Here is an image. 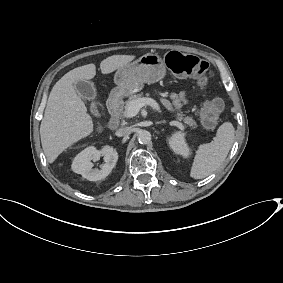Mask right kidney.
Wrapping results in <instances>:
<instances>
[{
	"label": "right kidney",
	"mask_w": 283,
	"mask_h": 283,
	"mask_svg": "<svg viewBox=\"0 0 283 283\" xmlns=\"http://www.w3.org/2000/svg\"><path fill=\"white\" fill-rule=\"evenodd\" d=\"M103 157L104 164L100 170L92 169L90 161ZM118 161V152L113 146L105 145L101 149L87 148L79 153L73 161L72 169L89 181H97L108 176Z\"/></svg>",
	"instance_id": "obj_1"
}]
</instances>
